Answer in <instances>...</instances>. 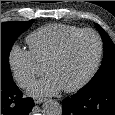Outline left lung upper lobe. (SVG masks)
Wrapping results in <instances>:
<instances>
[{"mask_svg": "<svg viewBox=\"0 0 115 115\" xmlns=\"http://www.w3.org/2000/svg\"><path fill=\"white\" fill-rule=\"evenodd\" d=\"M104 44V56L100 69L78 92L88 91L102 85L115 83V45L108 34L96 24Z\"/></svg>", "mask_w": 115, "mask_h": 115, "instance_id": "left-lung-upper-lobe-1", "label": "left lung upper lobe"}]
</instances>
